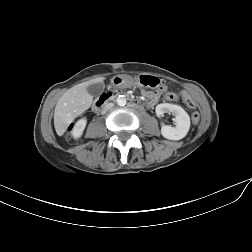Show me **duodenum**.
<instances>
[{"label":"duodenum","instance_id":"410a0bca","mask_svg":"<svg viewBox=\"0 0 252 252\" xmlns=\"http://www.w3.org/2000/svg\"><path fill=\"white\" fill-rule=\"evenodd\" d=\"M115 92H110V93H106L101 95L95 102L94 108L96 111H101L109 102V100L115 96ZM130 104L134 107V108H138V109H142L143 105L142 103L136 101L135 99L130 98L129 99Z\"/></svg>","mask_w":252,"mask_h":252}]
</instances>
